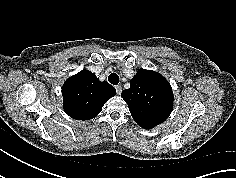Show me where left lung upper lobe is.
<instances>
[{
    "instance_id": "left-lung-upper-lobe-1",
    "label": "left lung upper lobe",
    "mask_w": 236,
    "mask_h": 178,
    "mask_svg": "<svg viewBox=\"0 0 236 178\" xmlns=\"http://www.w3.org/2000/svg\"><path fill=\"white\" fill-rule=\"evenodd\" d=\"M121 97L129 106L135 122L144 129L164 122L173 109V92L169 82L153 70L139 69L130 88Z\"/></svg>"
}]
</instances>
